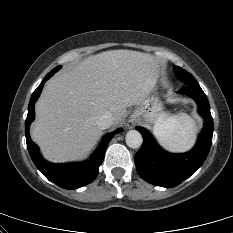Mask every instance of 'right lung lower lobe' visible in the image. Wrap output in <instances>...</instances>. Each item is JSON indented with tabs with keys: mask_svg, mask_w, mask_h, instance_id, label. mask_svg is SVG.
Here are the masks:
<instances>
[{
	"mask_svg": "<svg viewBox=\"0 0 233 233\" xmlns=\"http://www.w3.org/2000/svg\"><path fill=\"white\" fill-rule=\"evenodd\" d=\"M53 73H48L41 84L33 92L29 106L28 115L25 121V136L29 154L41 173L50 181L64 189H76L91 183L99 173V166L101 165L108 143L112 137L120 132L122 129H118L107 134L101 141L98 149L90 158V160L83 163H71V164H52L45 161L39 152L38 146L32 142L29 136V126L34 120V104L37 101L44 83L48 80Z\"/></svg>",
	"mask_w": 233,
	"mask_h": 233,
	"instance_id": "obj_1",
	"label": "right lung lower lobe"
}]
</instances>
